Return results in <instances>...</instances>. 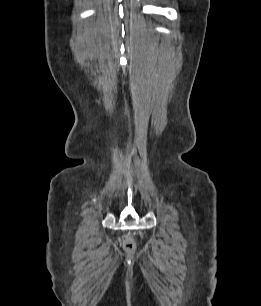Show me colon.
<instances>
[{"instance_id":"colon-1","label":"colon","mask_w":261,"mask_h":306,"mask_svg":"<svg viewBox=\"0 0 261 306\" xmlns=\"http://www.w3.org/2000/svg\"><path fill=\"white\" fill-rule=\"evenodd\" d=\"M123 244L126 249H133L135 247L134 240L128 235L123 237Z\"/></svg>"}]
</instances>
